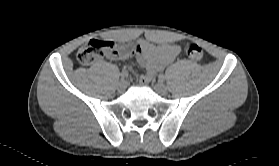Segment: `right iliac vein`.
Masks as SVG:
<instances>
[{"mask_svg":"<svg viewBox=\"0 0 279 166\" xmlns=\"http://www.w3.org/2000/svg\"><path fill=\"white\" fill-rule=\"evenodd\" d=\"M127 87V82L125 80H120L117 84V90L123 92Z\"/></svg>","mask_w":279,"mask_h":166,"instance_id":"63e3f726","label":"right iliac vein"}]
</instances>
